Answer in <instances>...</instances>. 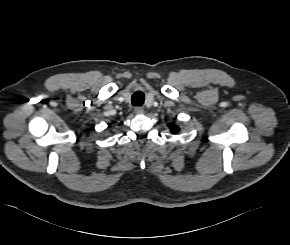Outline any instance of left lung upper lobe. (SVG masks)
Here are the masks:
<instances>
[{"instance_id": "obj_1", "label": "left lung upper lobe", "mask_w": 290, "mask_h": 245, "mask_svg": "<svg viewBox=\"0 0 290 245\" xmlns=\"http://www.w3.org/2000/svg\"><path fill=\"white\" fill-rule=\"evenodd\" d=\"M171 131H172L173 133H177V132L179 131V128H178L177 126H173V127L171 128Z\"/></svg>"}]
</instances>
